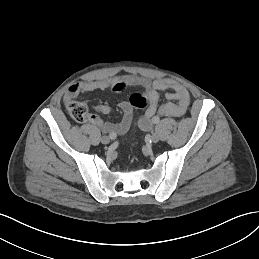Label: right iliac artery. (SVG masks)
<instances>
[{"label": "right iliac artery", "instance_id": "1", "mask_svg": "<svg viewBox=\"0 0 259 259\" xmlns=\"http://www.w3.org/2000/svg\"><path fill=\"white\" fill-rule=\"evenodd\" d=\"M116 137H117V135L115 133L109 134V138L112 139V140L116 139Z\"/></svg>", "mask_w": 259, "mask_h": 259}]
</instances>
